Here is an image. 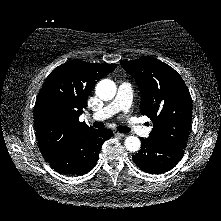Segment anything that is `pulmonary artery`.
Wrapping results in <instances>:
<instances>
[{"mask_svg":"<svg viewBox=\"0 0 221 221\" xmlns=\"http://www.w3.org/2000/svg\"><path fill=\"white\" fill-rule=\"evenodd\" d=\"M132 103V88L129 83H121L118 87L116 97L108 105L95 112L92 118L95 120L107 119L118 112L127 113ZM129 128L137 135L148 137L151 132V127H145L136 123L133 120L128 121Z\"/></svg>","mask_w":221,"mask_h":221,"instance_id":"obj_1","label":"pulmonary artery"}]
</instances>
